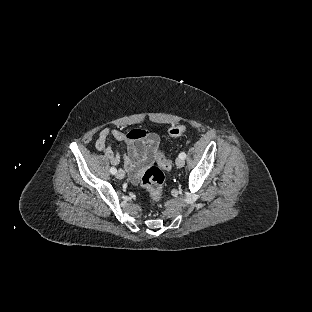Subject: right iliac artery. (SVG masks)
I'll use <instances>...</instances> for the list:
<instances>
[{"instance_id":"obj_1","label":"right iliac artery","mask_w":312,"mask_h":312,"mask_svg":"<svg viewBox=\"0 0 312 312\" xmlns=\"http://www.w3.org/2000/svg\"><path fill=\"white\" fill-rule=\"evenodd\" d=\"M110 173L113 174V175L116 174L117 173L116 168L115 167H111Z\"/></svg>"}]
</instances>
